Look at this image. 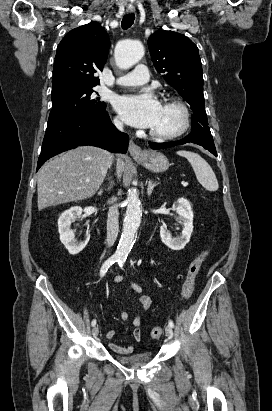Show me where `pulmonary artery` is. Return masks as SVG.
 <instances>
[{
    "instance_id": "1",
    "label": "pulmonary artery",
    "mask_w": 272,
    "mask_h": 411,
    "mask_svg": "<svg viewBox=\"0 0 272 411\" xmlns=\"http://www.w3.org/2000/svg\"><path fill=\"white\" fill-rule=\"evenodd\" d=\"M149 80L148 69L145 65H137L133 72L117 79V84L121 86H141Z\"/></svg>"
}]
</instances>
